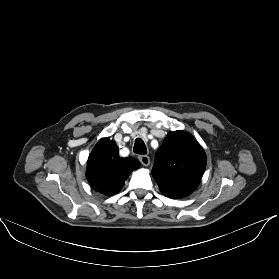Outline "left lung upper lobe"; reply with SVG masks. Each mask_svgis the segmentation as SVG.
<instances>
[{"label": "left lung upper lobe", "instance_id": "1", "mask_svg": "<svg viewBox=\"0 0 279 279\" xmlns=\"http://www.w3.org/2000/svg\"><path fill=\"white\" fill-rule=\"evenodd\" d=\"M206 154L189 133L170 132L156 152L152 175L169 198H184L194 192L206 168Z\"/></svg>", "mask_w": 279, "mask_h": 279}]
</instances>
